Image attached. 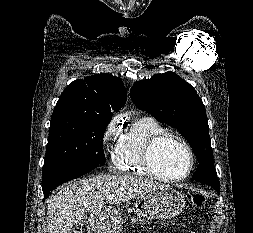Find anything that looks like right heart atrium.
<instances>
[{
	"instance_id": "1",
	"label": "right heart atrium",
	"mask_w": 253,
	"mask_h": 233,
	"mask_svg": "<svg viewBox=\"0 0 253 233\" xmlns=\"http://www.w3.org/2000/svg\"><path fill=\"white\" fill-rule=\"evenodd\" d=\"M119 118L112 119L108 125L106 126V129L104 131L103 135V143L104 145H107L110 140L116 137L119 130Z\"/></svg>"
}]
</instances>
